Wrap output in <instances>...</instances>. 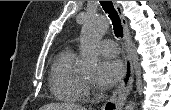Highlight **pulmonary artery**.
Returning a JSON list of instances; mask_svg holds the SVG:
<instances>
[{
	"instance_id": "1",
	"label": "pulmonary artery",
	"mask_w": 171,
	"mask_h": 110,
	"mask_svg": "<svg viewBox=\"0 0 171 110\" xmlns=\"http://www.w3.org/2000/svg\"><path fill=\"white\" fill-rule=\"evenodd\" d=\"M99 48H100L101 53L105 57H109V58L115 57L119 53V46L113 40L105 39L101 41L99 44Z\"/></svg>"
}]
</instances>
